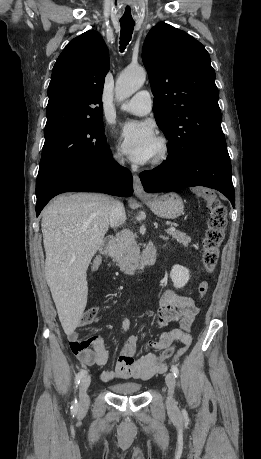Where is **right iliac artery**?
<instances>
[{
	"instance_id": "1",
	"label": "right iliac artery",
	"mask_w": 261,
	"mask_h": 459,
	"mask_svg": "<svg viewBox=\"0 0 261 459\" xmlns=\"http://www.w3.org/2000/svg\"><path fill=\"white\" fill-rule=\"evenodd\" d=\"M86 371L85 370H81L77 373L76 375V378H75V385L77 387V385L80 383V380L82 379V377L85 375ZM71 409H72V412L73 413H76L77 410H78V402L77 400L75 399L72 403V406H71Z\"/></svg>"
}]
</instances>
